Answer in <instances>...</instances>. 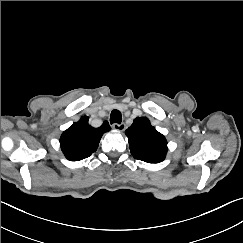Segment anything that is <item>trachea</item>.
I'll list each match as a JSON object with an SVG mask.
<instances>
[{"label":"trachea","instance_id":"obj_1","mask_svg":"<svg viewBox=\"0 0 243 243\" xmlns=\"http://www.w3.org/2000/svg\"><path fill=\"white\" fill-rule=\"evenodd\" d=\"M122 121V115H121V112L119 110H113L111 112V115H110V123L113 124V123H118L120 124Z\"/></svg>","mask_w":243,"mask_h":243}]
</instances>
